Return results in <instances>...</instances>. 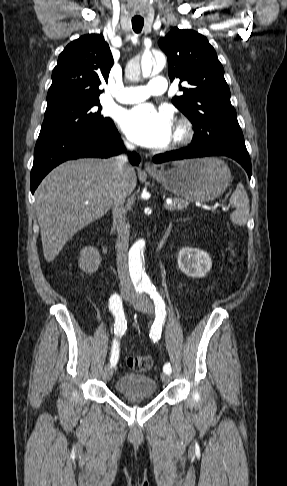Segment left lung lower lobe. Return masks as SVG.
Returning <instances> with one entry per match:
<instances>
[{
	"instance_id": "0a47b994",
	"label": "left lung lower lobe",
	"mask_w": 287,
	"mask_h": 486,
	"mask_svg": "<svg viewBox=\"0 0 287 486\" xmlns=\"http://www.w3.org/2000/svg\"><path fill=\"white\" fill-rule=\"evenodd\" d=\"M223 155L230 157L240 163L246 170L249 178L252 174L251 161L246 149H237L226 146H205L191 142L189 147L166 152L153 157L155 163H162L173 160H181L196 157Z\"/></svg>"
}]
</instances>
